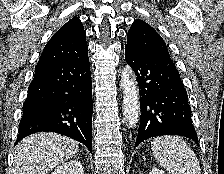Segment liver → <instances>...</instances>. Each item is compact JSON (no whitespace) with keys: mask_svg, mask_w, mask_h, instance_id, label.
I'll use <instances>...</instances> for the list:
<instances>
[{"mask_svg":"<svg viewBox=\"0 0 224 174\" xmlns=\"http://www.w3.org/2000/svg\"><path fill=\"white\" fill-rule=\"evenodd\" d=\"M78 149L79 144L75 140L63 135L34 133L17 144L12 174H48L71 158Z\"/></svg>","mask_w":224,"mask_h":174,"instance_id":"6515ba94","label":"liver"}]
</instances>
